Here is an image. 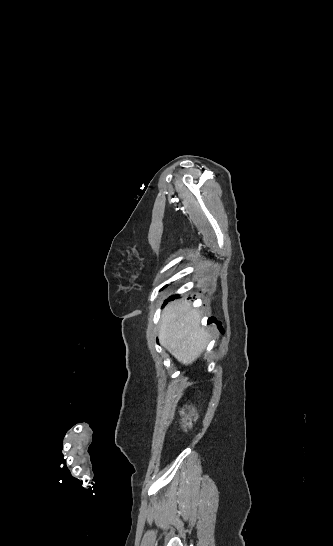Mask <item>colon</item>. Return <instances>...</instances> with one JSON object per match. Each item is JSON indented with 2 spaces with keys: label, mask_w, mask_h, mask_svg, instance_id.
Here are the masks:
<instances>
[{
  "label": "colon",
  "mask_w": 333,
  "mask_h": 546,
  "mask_svg": "<svg viewBox=\"0 0 333 546\" xmlns=\"http://www.w3.org/2000/svg\"><path fill=\"white\" fill-rule=\"evenodd\" d=\"M183 415L184 416L182 420V428L188 430L189 428H191L193 421L195 420V414L189 410L184 411Z\"/></svg>",
  "instance_id": "colon-1"
}]
</instances>
